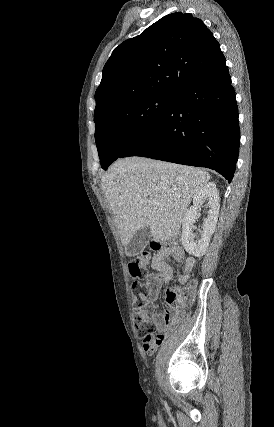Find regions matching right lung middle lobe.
I'll list each match as a JSON object with an SVG mask.
<instances>
[{
  "instance_id": "dd1d6c3e",
  "label": "right lung middle lobe",
  "mask_w": 274,
  "mask_h": 427,
  "mask_svg": "<svg viewBox=\"0 0 274 427\" xmlns=\"http://www.w3.org/2000/svg\"><path fill=\"white\" fill-rule=\"evenodd\" d=\"M172 98V94L133 96L94 117L96 146L104 170L162 120Z\"/></svg>"
}]
</instances>
